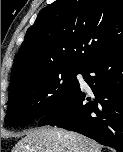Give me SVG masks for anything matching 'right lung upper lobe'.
<instances>
[{"label": "right lung upper lobe", "mask_w": 123, "mask_h": 152, "mask_svg": "<svg viewBox=\"0 0 123 152\" xmlns=\"http://www.w3.org/2000/svg\"><path fill=\"white\" fill-rule=\"evenodd\" d=\"M123 41V0H56L43 8L18 51L10 89L23 79L65 68L83 70Z\"/></svg>", "instance_id": "cb5924a9"}]
</instances>
